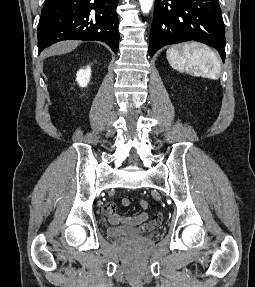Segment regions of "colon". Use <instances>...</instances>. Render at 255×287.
<instances>
[{
  "mask_svg": "<svg viewBox=\"0 0 255 287\" xmlns=\"http://www.w3.org/2000/svg\"><path fill=\"white\" fill-rule=\"evenodd\" d=\"M140 206L143 208V209H147L149 207V203L146 201V200H141L140 201Z\"/></svg>",
  "mask_w": 255,
  "mask_h": 287,
  "instance_id": "5ec220e1",
  "label": "colon"
}]
</instances>
